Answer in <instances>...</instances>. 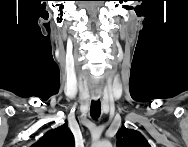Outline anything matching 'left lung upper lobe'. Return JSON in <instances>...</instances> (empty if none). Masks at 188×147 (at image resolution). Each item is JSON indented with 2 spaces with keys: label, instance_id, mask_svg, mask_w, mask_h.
<instances>
[{
  "label": "left lung upper lobe",
  "instance_id": "left-lung-upper-lobe-1",
  "mask_svg": "<svg viewBox=\"0 0 188 147\" xmlns=\"http://www.w3.org/2000/svg\"><path fill=\"white\" fill-rule=\"evenodd\" d=\"M118 147H150L143 135L133 129L122 127L117 133Z\"/></svg>",
  "mask_w": 188,
  "mask_h": 147
}]
</instances>
